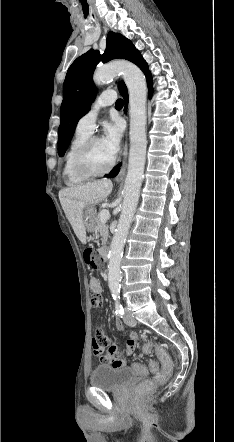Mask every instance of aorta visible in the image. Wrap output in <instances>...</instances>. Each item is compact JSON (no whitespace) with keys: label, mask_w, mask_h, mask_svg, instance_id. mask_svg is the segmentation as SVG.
Wrapping results in <instances>:
<instances>
[{"label":"aorta","mask_w":234,"mask_h":442,"mask_svg":"<svg viewBox=\"0 0 234 442\" xmlns=\"http://www.w3.org/2000/svg\"><path fill=\"white\" fill-rule=\"evenodd\" d=\"M122 74L129 91L130 150L128 171L123 189V204L118 225L108 254V283L112 294L120 292V263L124 244L139 200L142 176L146 160V100L145 76L133 63L114 62L95 70L93 81L103 85Z\"/></svg>","instance_id":"762f6f07"}]
</instances>
